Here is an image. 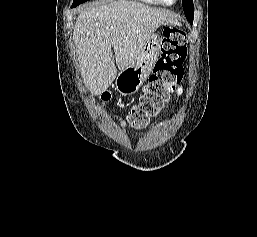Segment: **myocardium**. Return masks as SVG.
<instances>
[{
    "mask_svg": "<svg viewBox=\"0 0 257 237\" xmlns=\"http://www.w3.org/2000/svg\"><path fill=\"white\" fill-rule=\"evenodd\" d=\"M164 5L171 6L174 5L177 0H173L172 2H168L167 0H161Z\"/></svg>",
    "mask_w": 257,
    "mask_h": 237,
    "instance_id": "obj_1",
    "label": "myocardium"
}]
</instances>
